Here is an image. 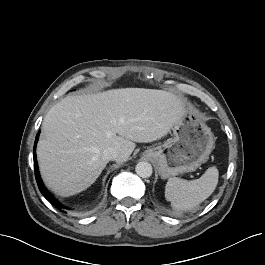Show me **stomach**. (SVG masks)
I'll return each mask as SVG.
<instances>
[{"instance_id": "0dacf381", "label": "stomach", "mask_w": 265, "mask_h": 265, "mask_svg": "<svg viewBox=\"0 0 265 265\" xmlns=\"http://www.w3.org/2000/svg\"><path fill=\"white\" fill-rule=\"evenodd\" d=\"M172 131L170 139L143 153L155 163L163 179L195 171L214 148L211 129L193 112L186 111Z\"/></svg>"}]
</instances>
